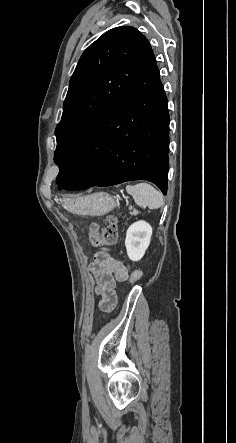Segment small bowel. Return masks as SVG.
<instances>
[{
  "instance_id": "small-bowel-1",
  "label": "small bowel",
  "mask_w": 236,
  "mask_h": 443,
  "mask_svg": "<svg viewBox=\"0 0 236 443\" xmlns=\"http://www.w3.org/2000/svg\"><path fill=\"white\" fill-rule=\"evenodd\" d=\"M98 280L97 292L100 294L99 306L103 311H111L117 302L116 283L128 279L127 267L112 257L106 249L100 250L90 266Z\"/></svg>"
}]
</instances>
